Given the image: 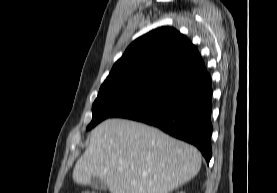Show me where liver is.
<instances>
[{"label":"liver","mask_w":277,"mask_h":193,"mask_svg":"<svg viewBox=\"0 0 277 193\" xmlns=\"http://www.w3.org/2000/svg\"><path fill=\"white\" fill-rule=\"evenodd\" d=\"M198 150L157 128L108 119L91 132L89 147L76 162L73 180H104L110 193H170L194 178Z\"/></svg>","instance_id":"liver-1"}]
</instances>
